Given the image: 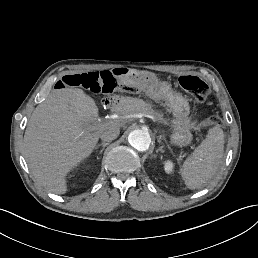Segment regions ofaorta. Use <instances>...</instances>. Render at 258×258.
<instances>
[{
  "instance_id": "1",
  "label": "aorta",
  "mask_w": 258,
  "mask_h": 258,
  "mask_svg": "<svg viewBox=\"0 0 258 258\" xmlns=\"http://www.w3.org/2000/svg\"><path fill=\"white\" fill-rule=\"evenodd\" d=\"M130 145L138 151L148 150L151 144V137L148 131L135 129L128 136Z\"/></svg>"
}]
</instances>
